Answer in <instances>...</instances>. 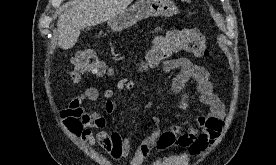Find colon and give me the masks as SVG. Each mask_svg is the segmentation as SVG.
Here are the masks:
<instances>
[{
    "label": "colon",
    "mask_w": 276,
    "mask_h": 165,
    "mask_svg": "<svg viewBox=\"0 0 276 165\" xmlns=\"http://www.w3.org/2000/svg\"><path fill=\"white\" fill-rule=\"evenodd\" d=\"M178 52H189L197 57L207 56L209 50L203 33L195 28H183L155 37L145 55L144 66L154 67ZM72 64L71 76L74 81H78L84 74L104 75L108 72L106 64L90 49L76 53ZM67 122L78 132V122Z\"/></svg>",
    "instance_id": "colon-1"
}]
</instances>
